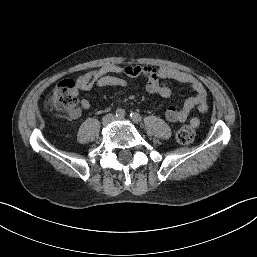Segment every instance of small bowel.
Returning <instances> with one entry per match:
<instances>
[{
    "label": "small bowel",
    "instance_id": "small-bowel-1",
    "mask_svg": "<svg viewBox=\"0 0 257 257\" xmlns=\"http://www.w3.org/2000/svg\"><path fill=\"white\" fill-rule=\"evenodd\" d=\"M113 74L123 75L127 78L143 77L145 79V90L151 94H157L163 98L171 96L169 82L171 80L190 86L194 94L188 97L180 107L170 105L165 111V118L170 123L185 122L191 111L197 108L199 114L208 111L207 91L203 83L194 75L171 67L159 69L151 66H124L106 65L99 69L91 70L76 79V93L88 91L94 87H127L128 81L125 78ZM91 107L88 99H82L75 112L68 113L71 119H77L82 114V109ZM191 125L198 127L200 118L194 116L190 120Z\"/></svg>",
    "mask_w": 257,
    "mask_h": 257
}]
</instances>
